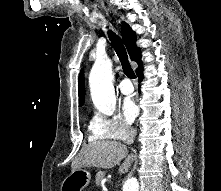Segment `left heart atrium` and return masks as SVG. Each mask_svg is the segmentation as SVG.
I'll use <instances>...</instances> for the list:
<instances>
[{
    "mask_svg": "<svg viewBox=\"0 0 221 191\" xmlns=\"http://www.w3.org/2000/svg\"><path fill=\"white\" fill-rule=\"evenodd\" d=\"M123 114L128 122H132L137 116V106L131 99H126L122 106Z\"/></svg>",
    "mask_w": 221,
    "mask_h": 191,
    "instance_id": "obj_1",
    "label": "left heart atrium"
}]
</instances>
